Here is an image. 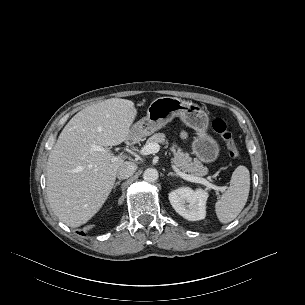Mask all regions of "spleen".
I'll return each mask as SVG.
<instances>
[{
  "instance_id": "3e777b00",
  "label": "spleen",
  "mask_w": 305,
  "mask_h": 305,
  "mask_svg": "<svg viewBox=\"0 0 305 305\" xmlns=\"http://www.w3.org/2000/svg\"><path fill=\"white\" fill-rule=\"evenodd\" d=\"M250 191V173L245 166H238L231 177L230 186L215 204L221 223L233 221L244 208Z\"/></svg>"
}]
</instances>
